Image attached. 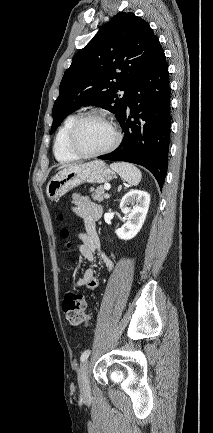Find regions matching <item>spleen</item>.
Returning a JSON list of instances; mask_svg holds the SVG:
<instances>
[{
    "label": "spleen",
    "instance_id": "spleen-1",
    "mask_svg": "<svg viewBox=\"0 0 213 433\" xmlns=\"http://www.w3.org/2000/svg\"><path fill=\"white\" fill-rule=\"evenodd\" d=\"M111 169L120 175V177L130 185L136 186L142 178L141 171L130 163H112Z\"/></svg>",
    "mask_w": 213,
    "mask_h": 433
}]
</instances>
